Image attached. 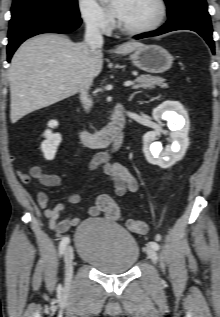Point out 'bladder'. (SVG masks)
<instances>
[{
  "label": "bladder",
  "mask_w": 220,
  "mask_h": 317,
  "mask_svg": "<svg viewBox=\"0 0 220 317\" xmlns=\"http://www.w3.org/2000/svg\"><path fill=\"white\" fill-rule=\"evenodd\" d=\"M74 240L78 258L106 274L129 272L137 263V240L116 222L89 218L76 229Z\"/></svg>",
  "instance_id": "obj_1"
}]
</instances>
